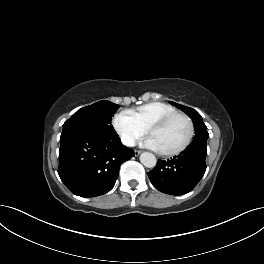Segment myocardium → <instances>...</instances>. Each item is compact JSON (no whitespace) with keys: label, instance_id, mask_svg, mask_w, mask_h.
<instances>
[{"label":"myocardium","instance_id":"f54148a6","mask_svg":"<svg viewBox=\"0 0 264 264\" xmlns=\"http://www.w3.org/2000/svg\"><path fill=\"white\" fill-rule=\"evenodd\" d=\"M176 118H183L187 122L188 127H189L188 135H187L185 141L180 146H178L174 149L168 150V151H160L161 154L166 155V156L177 155V154L183 152L184 150H186L188 148V146L191 144L192 139L194 137V132H195L194 123H193V120L191 119V117L189 115H187L186 113H183V112H174L170 115L165 116L164 118H162L158 122H156L148 130V134L152 135L153 133L165 128L172 120H174Z\"/></svg>","mask_w":264,"mask_h":264}]
</instances>
